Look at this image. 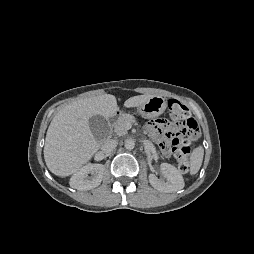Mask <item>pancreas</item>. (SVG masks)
Instances as JSON below:
<instances>
[{
	"instance_id": "cf45deb5",
	"label": "pancreas",
	"mask_w": 254,
	"mask_h": 254,
	"mask_svg": "<svg viewBox=\"0 0 254 254\" xmlns=\"http://www.w3.org/2000/svg\"><path fill=\"white\" fill-rule=\"evenodd\" d=\"M135 121L136 120H135V117L133 115H130V114L121 115L113 125L114 133L117 136L126 135L127 131H128L127 124L128 123H135Z\"/></svg>"
}]
</instances>
